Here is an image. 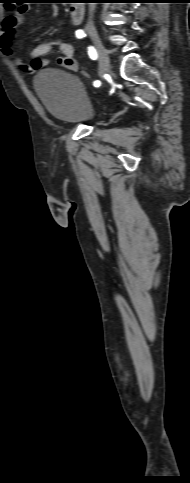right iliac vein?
Listing matches in <instances>:
<instances>
[{
	"label": "right iliac vein",
	"mask_w": 190,
	"mask_h": 483,
	"mask_svg": "<svg viewBox=\"0 0 190 483\" xmlns=\"http://www.w3.org/2000/svg\"><path fill=\"white\" fill-rule=\"evenodd\" d=\"M89 34L97 49L99 59H100L99 75L100 77H103L105 74H107L110 71V62L108 58V53L105 47L103 46L97 31L94 29H90Z\"/></svg>",
	"instance_id": "right-iliac-vein-1"
}]
</instances>
